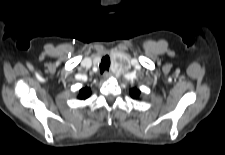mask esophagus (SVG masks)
I'll use <instances>...</instances> for the list:
<instances>
[{
    "mask_svg": "<svg viewBox=\"0 0 225 155\" xmlns=\"http://www.w3.org/2000/svg\"><path fill=\"white\" fill-rule=\"evenodd\" d=\"M110 77H112V73L111 72H108V71H105L104 74H103V79H109Z\"/></svg>",
    "mask_w": 225,
    "mask_h": 155,
    "instance_id": "1",
    "label": "esophagus"
}]
</instances>
